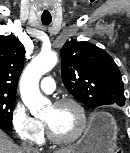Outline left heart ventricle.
Returning a JSON list of instances; mask_svg holds the SVG:
<instances>
[{"label": "left heart ventricle", "mask_w": 130, "mask_h": 153, "mask_svg": "<svg viewBox=\"0 0 130 153\" xmlns=\"http://www.w3.org/2000/svg\"><path fill=\"white\" fill-rule=\"evenodd\" d=\"M60 137H70L79 127V114L71 105L54 107L51 105L43 118Z\"/></svg>", "instance_id": "b2bd125f"}]
</instances>
